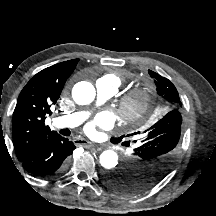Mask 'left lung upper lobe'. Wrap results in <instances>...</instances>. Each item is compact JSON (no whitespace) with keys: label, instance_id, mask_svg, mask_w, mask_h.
<instances>
[{"label":"left lung upper lobe","instance_id":"left-lung-upper-lobe-1","mask_svg":"<svg viewBox=\"0 0 216 216\" xmlns=\"http://www.w3.org/2000/svg\"><path fill=\"white\" fill-rule=\"evenodd\" d=\"M149 74L155 79L158 94L169 102V111L142 134H131H139V139L133 141L136 148L124 166L109 172L113 174L107 184L121 194L134 195L155 186L167 175L179 153L182 116L178 91L167 78L150 70Z\"/></svg>","mask_w":216,"mask_h":216}]
</instances>
